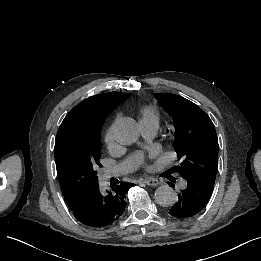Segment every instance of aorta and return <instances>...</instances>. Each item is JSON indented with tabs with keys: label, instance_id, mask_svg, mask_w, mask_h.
<instances>
[{
	"label": "aorta",
	"instance_id": "1",
	"mask_svg": "<svg viewBox=\"0 0 261 261\" xmlns=\"http://www.w3.org/2000/svg\"><path fill=\"white\" fill-rule=\"evenodd\" d=\"M114 139L122 145H130L139 137L138 125L132 118L118 119L113 128ZM157 204L163 207L173 206L177 202V194L169 185L159 186L154 193Z\"/></svg>",
	"mask_w": 261,
	"mask_h": 261
}]
</instances>
